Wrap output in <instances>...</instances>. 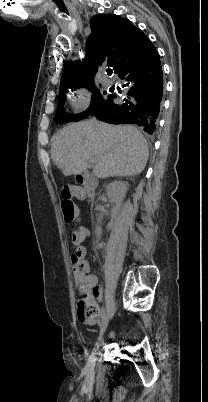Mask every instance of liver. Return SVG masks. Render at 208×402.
Returning <instances> with one entry per match:
<instances>
[{
  "label": "liver",
  "instance_id": "obj_1",
  "mask_svg": "<svg viewBox=\"0 0 208 402\" xmlns=\"http://www.w3.org/2000/svg\"><path fill=\"white\" fill-rule=\"evenodd\" d=\"M148 156V144L135 126H92L90 120L63 128L51 146V158L63 176L83 174L89 164H95L97 178L138 176Z\"/></svg>",
  "mask_w": 208,
  "mask_h": 402
}]
</instances>
